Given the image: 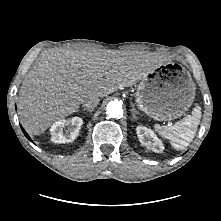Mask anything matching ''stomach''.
Instances as JSON below:
<instances>
[{"label":"stomach","mask_w":221,"mask_h":221,"mask_svg":"<svg viewBox=\"0 0 221 221\" xmlns=\"http://www.w3.org/2000/svg\"><path fill=\"white\" fill-rule=\"evenodd\" d=\"M135 97L146 115L170 121L182 116L192 105L195 85L184 70L158 66L139 80Z\"/></svg>","instance_id":"0dacf381"}]
</instances>
